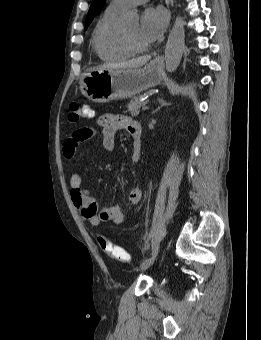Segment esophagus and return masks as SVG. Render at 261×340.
<instances>
[{
	"instance_id": "esophagus-1",
	"label": "esophagus",
	"mask_w": 261,
	"mask_h": 340,
	"mask_svg": "<svg viewBox=\"0 0 261 340\" xmlns=\"http://www.w3.org/2000/svg\"><path fill=\"white\" fill-rule=\"evenodd\" d=\"M169 3H170V0H166L167 7H169ZM157 59L159 60V59H161V57L158 56Z\"/></svg>"
}]
</instances>
